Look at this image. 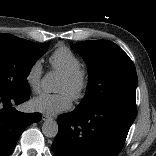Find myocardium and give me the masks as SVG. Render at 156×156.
<instances>
[{"instance_id": "myocardium-1", "label": "myocardium", "mask_w": 156, "mask_h": 156, "mask_svg": "<svg viewBox=\"0 0 156 156\" xmlns=\"http://www.w3.org/2000/svg\"><path fill=\"white\" fill-rule=\"evenodd\" d=\"M62 78L72 86L71 97L74 101H79L85 97L90 84L89 73L86 68L81 66L70 73L63 74Z\"/></svg>"}]
</instances>
